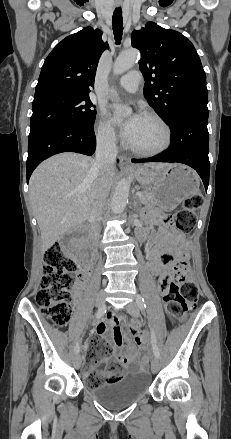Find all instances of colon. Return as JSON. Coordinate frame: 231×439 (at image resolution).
Returning <instances> with one entry per match:
<instances>
[{"label":"colon","mask_w":231,"mask_h":439,"mask_svg":"<svg viewBox=\"0 0 231 439\" xmlns=\"http://www.w3.org/2000/svg\"><path fill=\"white\" fill-rule=\"evenodd\" d=\"M202 204V197L194 195L185 200L182 209L178 210L174 216V224L183 232L193 229L197 210ZM165 225L170 224V219L163 220ZM174 267L176 274L168 277L165 285V295L163 297L167 314L179 320L183 317L186 310L193 306L199 299L198 286L188 279V263L186 255L181 253L175 260ZM43 276L40 289L36 294V303L42 314L57 326H65L71 315L72 292L77 279L78 267L76 262L67 256L60 243L50 246L44 253ZM137 324H132L130 331L136 333ZM86 359L89 363L107 358L111 352V347L99 337L93 336L87 343ZM112 366L111 361L106 365V369ZM123 378V372L113 371L100 374L92 371L87 377L89 387L101 386L106 383H115Z\"/></svg>","instance_id":"obj_1"}]
</instances>
